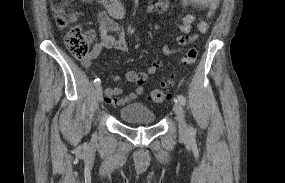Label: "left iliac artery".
I'll return each instance as SVG.
<instances>
[{
  "label": "left iliac artery",
  "mask_w": 285,
  "mask_h": 183,
  "mask_svg": "<svg viewBox=\"0 0 285 183\" xmlns=\"http://www.w3.org/2000/svg\"><path fill=\"white\" fill-rule=\"evenodd\" d=\"M177 100H178L182 105H185V104H186V99H185V97H184L183 95H178V96H177ZM189 131H190V134H191V135H195V133H196L195 129H194L192 126H190Z\"/></svg>",
  "instance_id": "1"
}]
</instances>
